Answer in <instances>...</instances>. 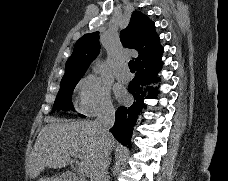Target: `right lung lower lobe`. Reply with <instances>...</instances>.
I'll return each instance as SVG.
<instances>
[{"mask_svg":"<svg viewBox=\"0 0 228 181\" xmlns=\"http://www.w3.org/2000/svg\"><path fill=\"white\" fill-rule=\"evenodd\" d=\"M163 48L158 49L146 60L136 65L137 73L130 82L128 91L134 97V103L130 107L121 106L116 111V120L110 132L124 146L130 147L133 127L139 118L140 113L145 108L144 99L154 97L157 93L150 91L157 80L155 75L161 69V54Z\"/></svg>","mask_w":228,"mask_h":181,"instance_id":"obj_1","label":"right lung lower lobe"}]
</instances>
